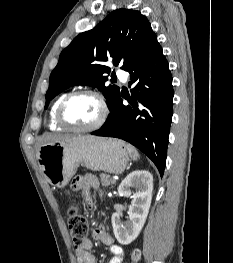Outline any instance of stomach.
Here are the masks:
<instances>
[{"label": "stomach", "mask_w": 233, "mask_h": 263, "mask_svg": "<svg viewBox=\"0 0 233 263\" xmlns=\"http://www.w3.org/2000/svg\"><path fill=\"white\" fill-rule=\"evenodd\" d=\"M129 156L123 141L90 135L71 136L43 145L36 152L46 181L57 188L68 184L80 164L93 171L120 174L126 168Z\"/></svg>", "instance_id": "obj_1"}]
</instances>
